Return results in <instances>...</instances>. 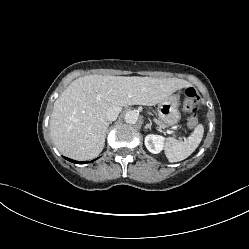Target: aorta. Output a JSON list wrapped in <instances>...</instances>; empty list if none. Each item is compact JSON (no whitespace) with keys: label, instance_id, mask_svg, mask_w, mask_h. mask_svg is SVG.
Masks as SVG:
<instances>
[{"label":"aorta","instance_id":"obj_1","mask_svg":"<svg viewBox=\"0 0 249 249\" xmlns=\"http://www.w3.org/2000/svg\"><path fill=\"white\" fill-rule=\"evenodd\" d=\"M125 122L129 124H135L138 120V113L136 111H128L125 114Z\"/></svg>","mask_w":249,"mask_h":249}]
</instances>
